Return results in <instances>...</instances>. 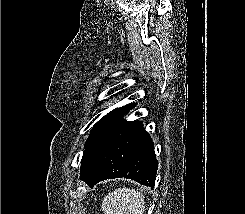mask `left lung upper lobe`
<instances>
[{
	"mask_svg": "<svg viewBox=\"0 0 245 214\" xmlns=\"http://www.w3.org/2000/svg\"><path fill=\"white\" fill-rule=\"evenodd\" d=\"M133 107L134 104H128L121 108H116L100 119L91 130V134L85 144V148H87L107 127L120 119L123 114L128 112Z\"/></svg>",
	"mask_w": 245,
	"mask_h": 214,
	"instance_id": "5c2ea615",
	"label": "left lung upper lobe"
}]
</instances>
